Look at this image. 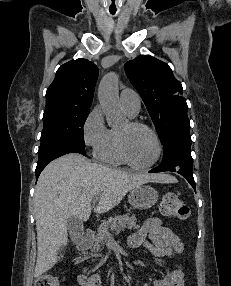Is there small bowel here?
<instances>
[{"label": "small bowel", "instance_id": "small-bowel-1", "mask_svg": "<svg viewBox=\"0 0 231 286\" xmlns=\"http://www.w3.org/2000/svg\"><path fill=\"white\" fill-rule=\"evenodd\" d=\"M149 237L150 241L147 240ZM132 249L144 248L157 258H175L183 252L184 246L178 235L159 218L146 220L128 240ZM183 269L179 264L167 268L164 277L154 279L152 286H184ZM80 286H101V277L97 273L85 271L78 278ZM143 286H150L146 281Z\"/></svg>", "mask_w": 231, "mask_h": 286}]
</instances>
